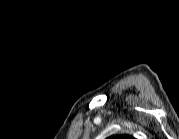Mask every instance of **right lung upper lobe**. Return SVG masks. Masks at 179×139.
Segmentation results:
<instances>
[{
  "mask_svg": "<svg viewBox=\"0 0 179 139\" xmlns=\"http://www.w3.org/2000/svg\"><path fill=\"white\" fill-rule=\"evenodd\" d=\"M111 138H117V139H128V138H131L130 136L128 135H117V136H113Z\"/></svg>",
  "mask_w": 179,
  "mask_h": 139,
  "instance_id": "1",
  "label": "right lung upper lobe"
}]
</instances>
